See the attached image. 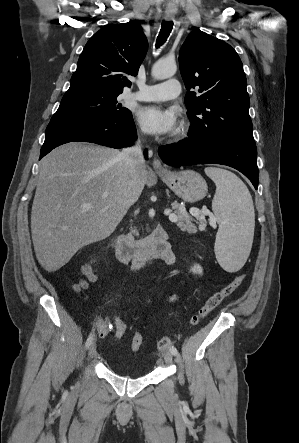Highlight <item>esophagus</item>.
<instances>
[{"label":"esophagus","instance_id":"obj_1","mask_svg":"<svg viewBox=\"0 0 299 443\" xmlns=\"http://www.w3.org/2000/svg\"><path fill=\"white\" fill-rule=\"evenodd\" d=\"M174 15H175V13L171 10H167L165 13L167 20H171L174 17ZM152 165H153L154 170L157 173H161V172L166 171L165 166L161 163V161L158 158H154Z\"/></svg>","mask_w":299,"mask_h":443}]
</instances>
